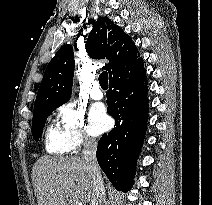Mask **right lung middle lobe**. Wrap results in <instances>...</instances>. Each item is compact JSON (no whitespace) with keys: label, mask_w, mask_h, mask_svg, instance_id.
I'll list each match as a JSON object with an SVG mask.
<instances>
[{"label":"right lung middle lobe","mask_w":212,"mask_h":205,"mask_svg":"<svg viewBox=\"0 0 212 205\" xmlns=\"http://www.w3.org/2000/svg\"><path fill=\"white\" fill-rule=\"evenodd\" d=\"M59 106L60 105H44L34 109L31 130L33 138L36 141L42 136L47 117Z\"/></svg>","instance_id":"dd1d6c3e"}]
</instances>
